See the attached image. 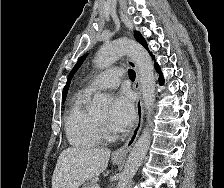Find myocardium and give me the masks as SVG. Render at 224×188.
<instances>
[{
    "label": "myocardium",
    "instance_id": "myocardium-1",
    "mask_svg": "<svg viewBox=\"0 0 224 188\" xmlns=\"http://www.w3.org/2000/svg\"><path fill=\"white\" fill-rule=\"evenodd\" d=\"M95 124L98 130V133L100 135V138H103L105 140H113L115 139V134L113 131L110 129V127L99 120L97 116H95Z\"/></svg>",
    "mask_w": 224,
    "mask_h": 188
}]
</instances>
